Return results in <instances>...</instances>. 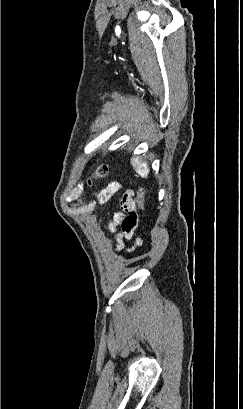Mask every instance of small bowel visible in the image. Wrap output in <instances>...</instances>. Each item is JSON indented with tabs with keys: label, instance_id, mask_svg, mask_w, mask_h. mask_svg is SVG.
<instances>
[{
	"label": "small bowel",
	"instance_id": "c3829d8e",
	"mask_svg": "<svg viewBox=\"0 0 243 409\" xmlns=\"http://www.w3.org/2000/svg\"><path fill=\"white\" fill-rule=\"evenodd\" d=\"M118 189L117 183L109 184L100 193L102 201L108 199ZM121 212L115 215L112 222L107 226L110 232H116L117 227H121V231L117 234V249L123 250L125 248V241L130 240L138 224V215L136 212V204L132 192H127L121 199ZM142 244L141 239L136 240L135 247ZM134 249V248H132ZM130 249V250H132ZM129 250V251H130Z\"/></svg>",
	"mask_w": 243,
	"mask_h": 409
}]
</instances>
